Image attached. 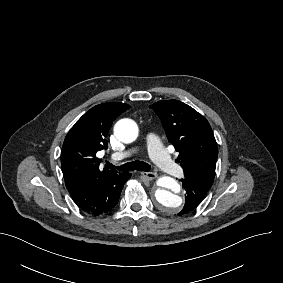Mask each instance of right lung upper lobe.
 <instances>
[{"instance_id": "right-lung-upper-lobe-1", "label": "right lung upper lobe", "mask_w": 283, "mask_h": 283, "mask_svg": "<svg viewBox=\"0 0 283 283\" xmlns=\"http://www.w3.org/2000/svg\"><path fill=\"white\" fill-rule=\"evenodd\" d=\"M130 106L125 103L99 104L86 112L70 129L63 143L61 166L66 187L85 179L118 173L99 168L96 153L107 148L105 137L112 122Z\"/></svg>"}]
</instances>
